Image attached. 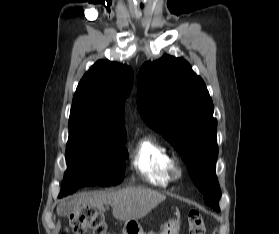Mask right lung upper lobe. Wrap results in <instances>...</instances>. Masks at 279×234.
Wrapping results in <instances>:
<instances>
[{
    "label": "right lung upper lobe",
    "mask_w": 279,
    "mask_h": 234,
    "mask_svg": "<svg viewBox=\"0 0 279 234\" xmlns=\"http://www.w3.org/2000/svg\"><path fill=\"white\" fill-rule=\"evenodd\" d=\"M133 81L134 74L130 67L99 60L79 82L69 122L85 123L99 136H126L124 103Z\"/></svg>",
    "instance_id": "cb5924a9"
}]
</instances>
